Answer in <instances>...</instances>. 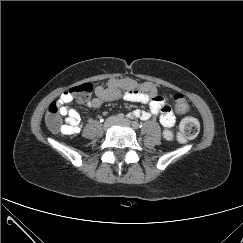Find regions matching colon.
<instances>
[{
  "label": "colon",
  "instance_id": "1",
  "mask_svg": "<svg viewBox=\"0 0 243 243\" xmlns=\"http://www.w3.org/2000/svg\"><path fill=\"white\" fill-rule=\"evenodd\" d=\"M93 91V85L91 83H84L76 86L70 90L73 96H78L81 98H87ZM173 110L179 114L184 115L189 112L190 104L187 98L182 94H176L173 97ZM60 103L53 101L47 110L45 121L48 128L53 132L61 131L60 123ZM200 125L196 118L186 117L182 120L180 125V131L178 133V139L182 142H186L195 138L199 133ZM164 137L167 140L173 138V133L170 130L164 131Z\"/></svg>",
  "mask_w": 243,
  "mask_h": 243
}]
</instances>
